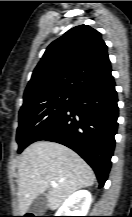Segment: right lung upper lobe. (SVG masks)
Here are the masks:
<instances>
[{
	"instance_id": "cb5924a9",
	"label": "right lung upper lobe",
	"mask_w": 132,
	"mask_h": 217,
	"mask_svg": "<svg viewBox=\"0 0 132 217\" xmlns=\"http://www.w3.org/2000/svg\"><path fill=\"white\" fill-rule=\"evenodd\" d=\"M112 77L107 46L101 34L76 26L52 42L33 71L24 98L57 92H79Z\"/></svg>"
}]
</instances>
